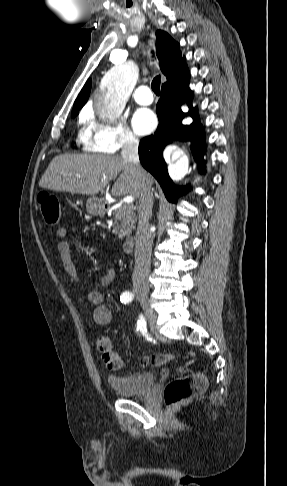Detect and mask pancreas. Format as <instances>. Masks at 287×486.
I'll use <instances>...</instances> for the list:
<instances>
[{
	"label": "pancreas",
	"mask_w": 287,
	"mask_h": 486,
	"mask_svg": "<svg viewBox=\"0 0 287 486\" xmlns=\"http://www.w3.org/2000/svg\"><path fill=\"white\" fill-rule=\"evenodd\" d=\"M114 230L113 232L123 239L134 229L136 215L132 205L124 204L113 212Z\"/></svg>",
	"instance_id": "obj_1"
}]
</instances>
